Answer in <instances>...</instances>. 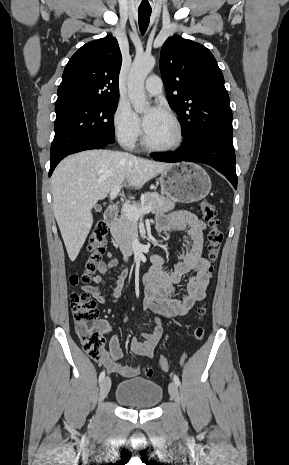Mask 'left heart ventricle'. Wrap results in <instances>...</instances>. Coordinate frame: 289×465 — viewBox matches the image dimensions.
<instances>
[{
    "label": "left heart ventricle",
    "mask_w": 289,
    "mask_h": 465,
    "mask_svg": "<svg viewBox=\"0 0 289 465\" xmlns=\"http://www.w3.org/2000/svg\"><path fill=\"white\" fill-rule=\"evenodd\" d=\"M145 133L147 140L154 145H169L176 139L174 125L163 112Z\"/></svg>",
    "instance_id": "1"
}]
</instances>
